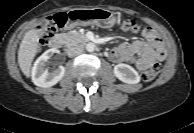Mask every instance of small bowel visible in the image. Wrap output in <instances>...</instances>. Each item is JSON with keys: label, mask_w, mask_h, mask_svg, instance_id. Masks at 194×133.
I'll return each instance as SVG.
<instances>
[{"label": "small bowel", "mask_w": 194, "mask_h": 133, "mask_svg": "<svg viewBox=\"0 0 194 133\" xmlns=\"http://www.w3.org/2000/svg\"><path fill=\"white\" fill-rule=\"evenodd\" d=\"M144 40L124 42L109 53L114 62H134L139 71L149 69L158 60L165 58L164 44L158 33L151 27L142 31Z\"/></svg>", "instance_id": "obj_1"}]
</instances>
